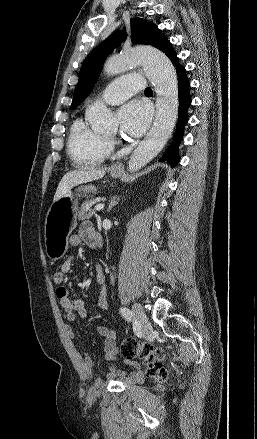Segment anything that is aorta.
Returning a JSON list of instances; mask_svg holds the SVG:
<instances>
[{
    "mask_svg": "<svg viewBox=\"0 0 257 439\" xmlns=\"http://www.w3.org/2000/svg\"><path fill=\"white\" fill-rule=\"evenodd\" d=\"M141 64L157 94L154 123L146 138L134 150L128 163L135 172L150 162L163 149L170 138L178 116V80L169 58L153 47H139L123 51L109 58L104 73L113 76ZM91 128L101 134H110L116 128L114 115L102 103H95L86 110Z\"/></svg>",
    "mask_w": 257,
    "mask_h": 439,
    "instance_id": "obj_1",
    "label": "aorta"
}]
</instances>
